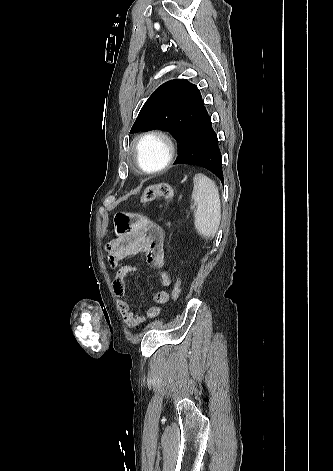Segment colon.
Masks as SVG:
<instances>
[{"mask_svg": "<svg viewBox=\"0 0 333 471\" xmlns=\"http://www.w3.org/2000/svg\"><path fill=\"white\" fill-rule=\"evenodd\" d=\"M174 197V189L168 183H158L148 186L140 197V203L145 204L157 199L171 201ZM182 282L178 275L172 289V298L177 301L181 294Z\"/></svg>", "mask_w": 333, "mask_h": 471, "instance_id": "1", "label": "colon"}]
</instances>
